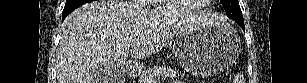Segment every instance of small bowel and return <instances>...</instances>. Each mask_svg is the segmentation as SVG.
I'll use <instances>...</instances> for the list:
<instances>
[{
	"mask_svg": "<svg viewBox=\"0 0 307 83\" xmlns=\"http://www.w3.org/2000/svg\"><path fill=\"white\" fill-rule=\"evenodd\" d=\"M174 83H182L181 81H179V80H176V81H174Z\"/></svg>",
	"mask_w": 307,
	"mask_h": 83,
	"instance_id": "1",
	"label": "small bowel"
}]
</instances>
